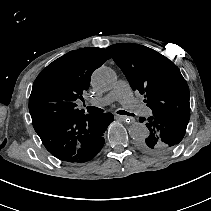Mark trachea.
<instances>
[{"label":"trachea","mask_w":211,"mask_h":211,"mask_svg":"<svg viewBox=\"0 0 211 211\" xmlns=\"http://www.w3.org/2000/svg\"><path fill=\"white\" fill-rule=\"evenodd\" d=\"M87 111L89 113H101V112H104L103 109L98 108V107H94V106H88L87 107ZM117 113L120 114V115L135 116L133 113H129V112L124 111V110H118Z\"/></svg>","instance_id":"1"}]
</instances>
